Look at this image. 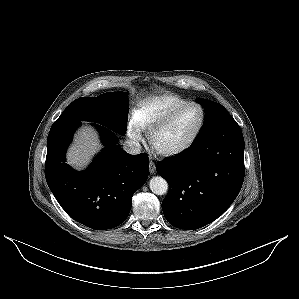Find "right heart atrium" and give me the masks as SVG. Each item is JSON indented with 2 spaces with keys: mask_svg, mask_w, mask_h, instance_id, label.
<instances>
[{
  "mask_svg": "<svg viewBox=\"0 0 299 299\" xmlns=\"http://www.w3.org/2000/svg\"><path fill=\"white\" fill-rule=\"evenodd\" d=\"M144 128L142 125L133 117L128 122L127 135L134 145H138L143 139Z\"/></svg>",
  "mask_w": 299,
  "mask_h": 299,
  "instance_id": "right-heart-atrium-1",
  "label": "right heart atrium"
}]
</instances>
